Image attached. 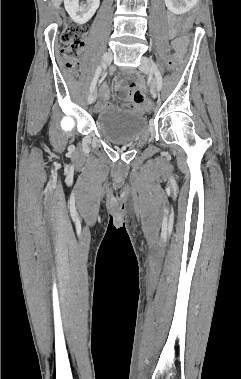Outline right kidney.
<instances>
[{
  "label": "right kidney",
  "mask_w": 241,
  "mask_h": 379,
  "mask_svg": "<svg viewBox=\"0 0 241 379\" xmlns=\"http://www.w3.org/2000/svg\"><path fill=\"white\" fill-rule=\"evenodd\" d=\"M100 5V0H86V4L80 0H64V6L71 19L77 24L87 23Z\"/></svg>",
  "instance_id": "obj_1"
}]
</instances>
